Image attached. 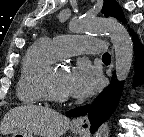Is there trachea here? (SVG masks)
<instances>
[{"label": "trachea", "instance_id": "trachea-1", "mask_svg": "<svg viewBox=\"0 0 144 137\" xmlns=\"http://www.w3.org/2000/svg\"><path fill=\"white\" fill-rule=\"evenodd\" d=\"M102 59L103 60H111V56L109 53H105L103 56H102Z\"/></svg>", "mask_w": 144, "mask_h": 137}]
</instances>
